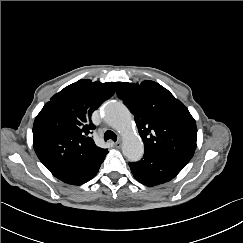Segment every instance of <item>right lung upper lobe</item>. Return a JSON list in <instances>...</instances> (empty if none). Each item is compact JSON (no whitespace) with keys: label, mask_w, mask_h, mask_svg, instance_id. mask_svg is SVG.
<instances>
[{"label":"right lung upper lobe","mask_w":243,"mask_h":243,"mask_svg":"<svg viewBox=\"0 0 243 243\" xmlns=\"http://www.w3.org/2000/svg\"><path fill=\"white\" fill-rule=\"evenodd\" d=\"M114 82L79 80L55 94L37 115L33 125L34 150L50 171L93 160L108 153L91 137V114L112 97Z\"/></svg>","instance_id":"obj_1"}]
</instances>
